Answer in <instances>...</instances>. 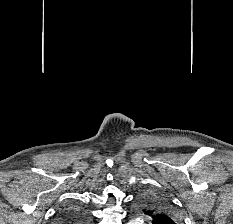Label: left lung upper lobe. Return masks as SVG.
I'll return each mask as SVG.
<instances>
[{
	"label": "left lung upper lobe",
	"mask_w": 233,
	"mask_h": 224,
	"mask_svg": "<svg viewBox=\"0 0 233 224\" xmlns=\"http://www.w3.org/2000/svg\"><path fill=\"white\" fill-rule=\"evenodd\" d=\"M140 213L149 217L152 224H181V217L173 204L163 195L149 191L143 193L137 201Z\"/></svg>",
	"instance_id": "5c2ea615"
}]
</instances>
